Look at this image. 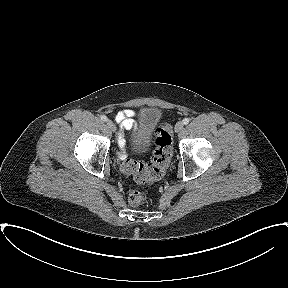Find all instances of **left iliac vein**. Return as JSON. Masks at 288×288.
I'll return each mask as SVG.
<instances>
[{
  "label": "left iliac vein",
  "instance_id": "4c4485c4",
  "mask_svg": "<svg viewBox=\"0 0 288 288\" xmlns=\"http://www.w3.org/2000/svg\"><path fill=\"white\" fill-rule=\"evenodd\" d=\"M183 122H178V123H176V125H175V132H177V133H179V132H181L182 130H183Z\"/></svg>",
  "mask_w": 288,
  "mask_h": 288
}]
</instances>
